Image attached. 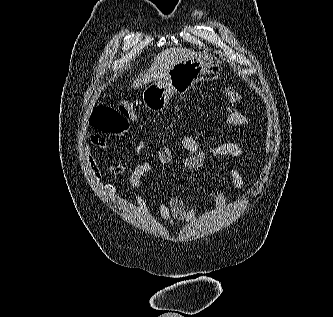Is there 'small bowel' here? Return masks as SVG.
I'll list each match as a JSON object with an SVG mask.
<instances>
[{"instance_id":"obj_1","label":"small bowel","mask_w":333,"mask_h":317,"mask_svg":"<svg viewBox=\"0 0 333 317\" xmlns=\"http://www.w3.org/2000/svg\"><path fill=\"white\" fill-rule=\"evenodd\" d=\"M225 124L229 126H247L249 120L246 115L234 108L227 109ZM88 144L99 150L105 151L108 147L107 140L100 134H92L88 138ZM181 145L184 150V155L180 160L181 168L190 171H201L205 167L206 154L201 150L199 141L192 136H184L181 139ZM144 149L142 141L137 142L135 150L140 152ZM209 154L215 157H234L240 159L245 165H250V160L247 152L240 145L235 143H222L214 146L209 150ZM156 158L163 166H168L173 163V153L168 147H160L157 150ZM86 160L95 179L101 177L98 166L89 151L86 152ZM152 169V163L148 160L138 164L130 173L128 183L133 189L139 204L144 203L141 190V178ZM109 170L115 175H121L125 172L123 165H109ZM229 178L238 191L244 189V179L240 171L236 167L228 169ZM110 190H114L110 187ZM215 208L222 211L225 206V196L221 189H215L213 192ZM160 218L162 221H181L193 222L196 218V207L193 203L186 205L184 201L177 195H171L168 201H161L158 205Z\"/></svg>"}]
</instances>
